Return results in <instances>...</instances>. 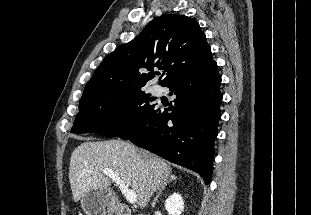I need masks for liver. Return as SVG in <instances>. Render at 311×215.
Masks as SVG:
<instances>
[{"label": "liver", "instance_id": "6515ba94", "mask_svg": "<svg viewBox=\"0 0 311 215\" xmlns=\"http://www.w3.org/2000/svg\"><path fill=\"white\" fill-rule=\"evenodd\" d=\"M103 169L113 171L132 188L140 208L148 205L153 193L172 175L165 160L129 142L87 140L75 148L70 158L69 182L75 202L91 189H110L111 179Z\"/></svg>", "mask_w": 311, "mask_h": 215}]
</instances>
